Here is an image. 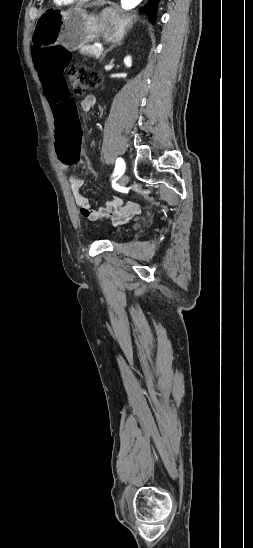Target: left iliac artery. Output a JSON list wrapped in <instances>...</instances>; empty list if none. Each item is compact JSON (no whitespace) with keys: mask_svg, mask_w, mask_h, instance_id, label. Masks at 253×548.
Returning a JSON list of instances; mask_svg holds the SVG:
<instances>
[{"mask_svg":"<svg viewBox=\"0 0 253 548\" xmlns=\"http://www.w3.org/2000/svg\"><path fill=\"white\" fill-rule=\"evenodd\" d=\"M124 171H125V162H124V160L122 158H117L113 176L122 175L124 173Z\"/></svg>","mask_w":253,"mask_h":548,"instance_id":"1","label":"left iliac artery"}]
</instances>
